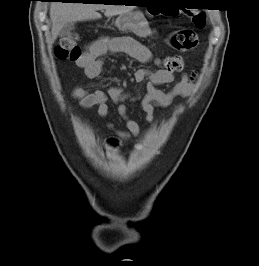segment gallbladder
<instances>
[{"mask_svg":"<svg viewBox=\"0 0 259 266\" xmlns=\"http://www.w3.org/2000/svg\"><path fill=\"white\" fill-rule=\"evenodd\" d=\"M75 25L74 23H68L66 24L63 29L61 30V35H67L68 33H70V31H72L74 29Z\"/></svg>","mask_w":259,"mask_h":266,"instance_id":"gallbladder-1","label":"gallbladder"}]
</instances>
